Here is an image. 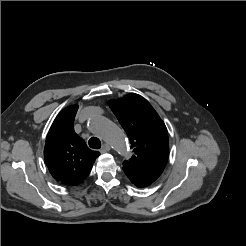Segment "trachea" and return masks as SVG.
<instances>
[{
    "label": "trachea",
    "mask_w": 246,
    "mask_h": 246,
    "mask_svg": "<svg viewBox=\"0 0 246 246\" xmlns=\"http://www.w3.org/2000/svg\"><path fill=\"white\" fill-rule=\"evenodd\" d=\"M88 144L93 149H99L101 147V142L98 138L92 137L89 139Z\"/></svg>",
    "instance_id": "1"
}]
</instances>
